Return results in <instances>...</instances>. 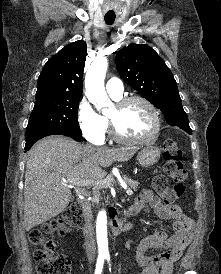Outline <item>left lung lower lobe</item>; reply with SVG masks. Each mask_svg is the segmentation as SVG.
Segmentation results:
<instances>
[{
	"instance_id": "obj_1",
	"label": "left lung lower lobe",
	"mask_w": 221,
	"mask_h": 274,
	"mask_svg": "<svg viewBox=\"0 0 221 274\" xmlns=\"http://www.w3.org/2000/svg\"><path fill=\"white\" fill-rule=\"evenodd\" d=\"M179 111H180V114H184L183 109H180ZM168 124L173 125V126H178L179 128L183 129L187 133L192 134V131L189 127V122H185V123H181V124H176V123H168Z\"/></svg>"
}]
</instances>
